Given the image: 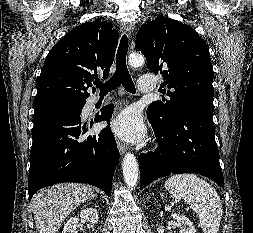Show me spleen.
Here are the masks:
<instances>
[{
  "instance_id": "1",
  "label": "spleen",
  "mask_w": 253,
  "mask_h": 233,
  "mask_svg": "<svg viewBox=\"0 0 253 233\" xmlns=\"http://www.w3.org/2000/svg\"><path fill=\"white\" fill-rule=\"evenodd\" d=\"M170 194L182 198L198 214L204 233H217L223 208L216 190L195 174H177L165 182Z\"/></svg>"
}]
</instances>
